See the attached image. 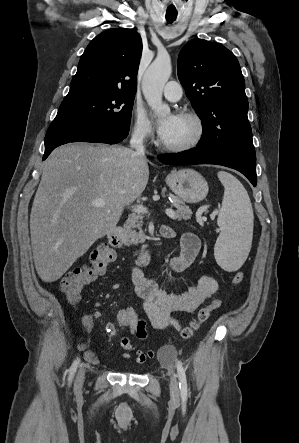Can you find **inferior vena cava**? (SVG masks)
I'll use <instances>...</instances> for the list:
<instances>
[{
    "label": "inferior vena cava",
    "instance_id": "inferior-vena-cava-1",
    "mask_svg": "<svg viewBox=\"0 0 299 443\" xmlns=\"http://www.w3.org/2000/svg\"><path fill=\"white\" fill-rule=\"evenodd\" d=\"M145 133L141 130H135L131 140L130 146L131 148L136 150V154L142 157H145V147L143 145V138Z\"/></svg>",
    "mask_w": 299,
    "mask_h": 443
}]
</instances>
